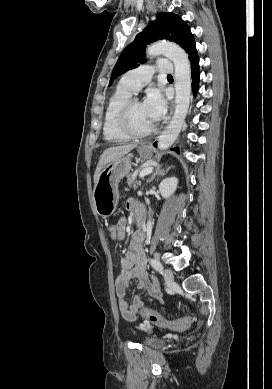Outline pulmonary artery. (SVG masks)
<instances>
[{"mask_svg": "<svg viewBox=\"0 0 272 389\" xmlns=\"http://www.w3.org/2000/svg\"><path fill=\"white\" fill-rule=\"evenodd\" d=\"M156 71L162 74H171L174 71L173 64L169 59H162L155 65H141L127 72L119 84L128 88L132 93H137L151 80Z\"/></svg>", "mask_w": 272, "mask_h": 389, "instance_id": "pulmonary-artery-1", "label": "pulmonary artery"}]
</instances>
